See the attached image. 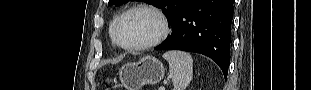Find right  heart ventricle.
I'll list each match as a JSON object with an SVG mask.
<instances>
[{
	"mask_svg": "<svg viewBox=\"0 0 311 90\" xmlns=\"http://www.w3.org/2000/svg\"><path fill=\"white\" fill-rule=\"evenodd\" d=\"M116 19H117V17L114 18V20L111 22L110 28H109V33H110V37H111V39H112V42H114V41H113L112 33H113V26H114V23H115Z\"/></svg>",
	"mask_w": 311,
	"mask_h": 90,
	"instance_id": "e07e8e85",
	"label": "right heart ventricle"
}]
</instances>
